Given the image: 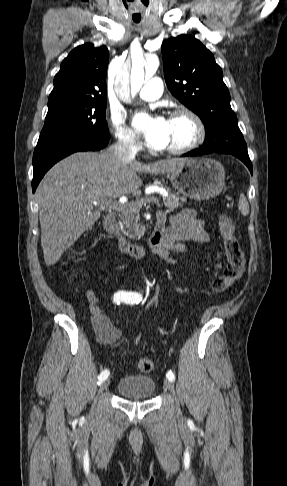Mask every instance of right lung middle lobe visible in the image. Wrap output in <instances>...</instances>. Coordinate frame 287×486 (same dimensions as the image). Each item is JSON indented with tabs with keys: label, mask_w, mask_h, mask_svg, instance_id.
Segmentation results:
<instances>
[{
	"label": "right lung middle lobe",
	"mask_w": 287,
	"mask_h": 486,
	"mask_svg": "<svg viewBox=\"0 0 287 486\" xmlns=\"http://www.w3.org/2000/svg\"><path fill=\"white\" fill-rule=\"evenodd\" d=\"M104 100H83L48 107L37 146L70 141H100L109 137Z\"/></svg>",
	"instance_id": "right-lung-middle-lobe-1"
}]
</instances>
